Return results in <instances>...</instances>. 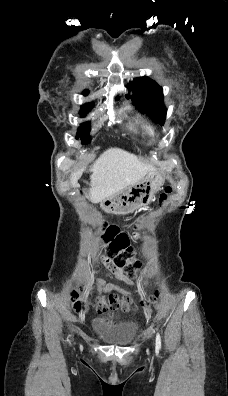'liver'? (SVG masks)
Here are the masks:
<instances>
[{
    "label": "liver",
    "mask_w": 228,
    "mask_h": 396,
    "mask_svg": "<svg viewBox=\"0 0 228 396\" xmlns=\"http://www.w3.org/2000/svg\"><path fill=\"white\" fill-rule=\"evenodd\" d=\"M86 167L71 174V184L78 187V179ZM89 197L92 201L101 202L103 199L141 181L147 174L156 172L148 163L142 162L136 155L120 148L106 150L90 166Z\"/></svg>",
    "instance_id": "6515ba94"
}]
</instances>
